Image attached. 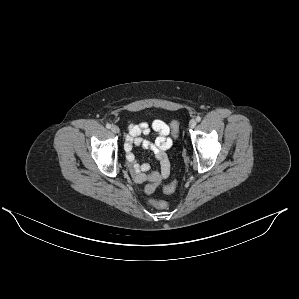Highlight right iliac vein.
<instances>
[{
  "mask_svg": "<svg viewBox=\"0 0 299 299\" xmlns=\"http://www.w3.org/2000/svg\"><path fill=\"white\" fill-rule=\"evenodd\" d=\"M111 131L113 132V133H115V134H117V133H119V127L118 126H116V125H113L112 127H111Z\"/></svg>",
  "mask_w": 299,
  "mask_h": 299,
  "instance_id": "obj_1",
  "label": "right iliac vein"
}]
</instances>
